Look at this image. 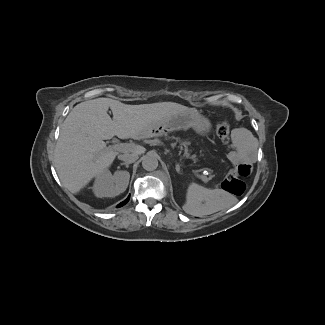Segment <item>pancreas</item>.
Masks as SVG:
<instances>
[{
    "mask_svg": "<svg viewBox=\"0 0 325 325\" xmlns=\"http://www.w3.org/2000/svg\"><path fill=\"white\" fill-rule=\"evenodd\" d=\"M166 143L169 146L175 147L191 161H194L200 170H210V166L206 163L201 156V153L197 150L196 144L185 134L171 131L167 134Z\"/></svg>",
    "mask_w": 325,
    "mask_h": 325,
    "instance_id": "1",
    "label": "pancreas"
}]
</instances>
